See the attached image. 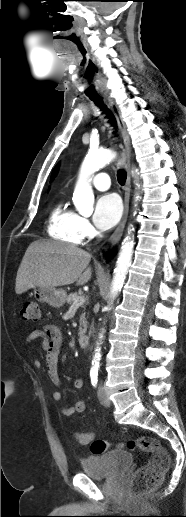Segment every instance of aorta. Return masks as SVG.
I'll return each mask as SVG.
<instances>
[{"instance_id":"obj_1","label":"aorta","mask_w":186,"mask_h":517,"mask_svg":"<svg viewBox=\"0 0 186 517\" xmlns=\"http://www.w3.org/2000/svg\"><path fill=\"white\" fill-rule=\"evenodd\" d=\"M115 158V153L109 149L103 150H90L86 155L80 169L78 181L75 186L73 193V202L76 209L80 213H91L94 204V194L92 186L90 184V177L100 168L110 163ZM137 172V171H136ZM134 173V172H133ZM138 187L140 185L136 184ZM139 199V194H136L135 201ZM134 229L129 228L128 235L122 242L119 257L116 262L114 269V276L111 284V295L115 298L120 292L128 269L131 265V259L133 254L134 240L132 231ZM103 334L99 335V339L102 340ZM101 359L100 348L95 349V354L92 361V369L97 370L99 367V361Z\"/></svg>"}]
</instances>
